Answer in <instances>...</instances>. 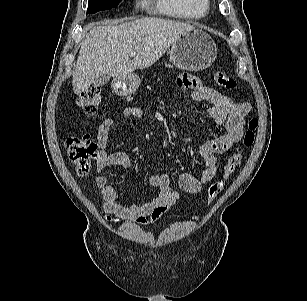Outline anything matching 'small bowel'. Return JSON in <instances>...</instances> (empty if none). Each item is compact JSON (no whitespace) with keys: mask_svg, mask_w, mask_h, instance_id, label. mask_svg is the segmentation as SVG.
Returning <instances> with one entry per match:
<instances>
[{"mask_svg":"<svg viewBox=\"0 0 307 301\" xmlns=\"http://www.w3.org/2000/svg\"><path fill=\"white\" fill-rule=\"evenodd\" d=\"M179 86L190 89V99L194 102L206 101L210 104L207 113L215 122L217 129L223 126L224 130L200 147V155L205 168L200 177L190 173H183L179 178V190L172 188L167 174H156L149 178V184L158 190L155 199L144 204H134L122 201L115 188L108 184V178L103 171L109 166H121L129 168L131 161L123 151L108 153L106 146L109 132L114 126L113 118H105L97 129V176L96 186L100 189L103 198V210L107 221H119L122 219L142 226H148L158 221L162 215L179 198L180 192L197 193L203 185L210 182L217 173L218 156L225 153L234 144L238 143L243 135L244 118L250 112L251 106L246 102H234L221 92L202 85L198 80L189 76H181L178 79ZM124 117L139 118L142 115L140 108L129 106L123 109Z\"/></svg>","mask_w":307,"mask_h":301,"instance_id":"c3829d8e","label":"small bowel"}]
</instances>
